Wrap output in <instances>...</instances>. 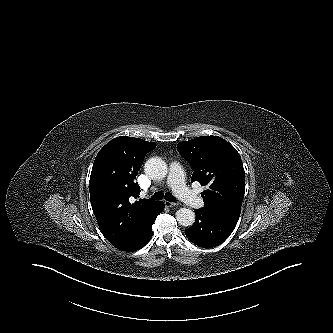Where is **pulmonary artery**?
Masks as SVG:
<instances>
[{
  "label": "pulmonary artery",
  "mask_w": 333,
  "mask_h": 333,
  "mask_svg": "<svg viewBox=\"0 0 333 333\" xmlns=\"http://www.w3.org/2000/svg\"><path fill=\"white\" fill-rule=\"evenodd\" d=\"M168 183L177 197L188 206L192 208L203 206V200L186 187L184 172L180 163L173 162L171 164Z\"/></svg>",
  "instance_id": "pulmonary-artery-1"
}]
</instances>
